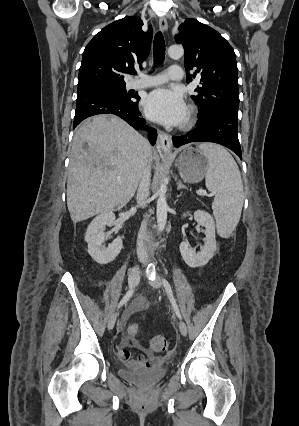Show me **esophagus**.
Returning <instances> with one entry per match:
<instances>
[{
  "label": "esophagus",
  "mask_w": 299,
  "mask_h": 426,
  "mask_svg": "<svg viewBox=\"0 0 299 426\" xmlns=\"http://www.w3.org/2000/svg\"><path fill=\"white\" fill-rule=\"evenodd\" d=\"M159 28L161 32L165 33L167 31L168 25L167 21L164 17H161L159 19ZM171 146H172V140L171 136L167 133L160 132L158 134V140H157V149L160 152H163L165 154H169L171 152Z\"/></svg>",
  "instance_id": "1"
}]
</instances>
